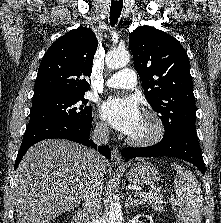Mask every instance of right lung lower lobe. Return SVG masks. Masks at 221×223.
<instances>
[{
    "mask_svg": "<svg viewBox=\"0 0 221 223\" xmlns=\"http://www.w3.org/2000/svg\"><path fill=\"white\" fill-rule=\"evenodd\" d=\"M91 126L92 121L83 124L65 121H49L33 127H27L15 161V169L18 167L27 150L35 143L45 139H67L96 149L97 146L92 141L88 140ZM98 151L106 158H110V149L108 146H100Z\"/></svg>",
    "mask_w": 221,
    "mask_h": 223,
    "instance_id": "1",
    "label": "right lung lower lobe"
}]
</instances>
